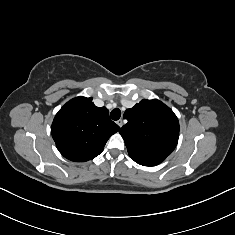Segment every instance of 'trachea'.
<instances>
[{
    "label": "trachea",
    "mask_w": 235,
    "mask_h": 235,
    "mask_svg": "<svg viewBox=\"0 0 235 235\" xmlns=\"http://www.w3.org/2000/svg\"><path fill=\"white\" fill-rule=\"evenodd\" d=\"M110 116L113 120H118L121 117V111L119 109H113L110 113Z\"/></svg>",
    "instance_id": "3493384b"
}]
</instances>
